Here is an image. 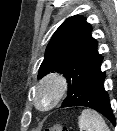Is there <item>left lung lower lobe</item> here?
<instances>
[{"instance_id": "left-lung-lower-lobe-1", "label": "left lung lower lobe", "mask_w": 117, "mask_h": 131, "mask_svg": "<svg viewBox=\"0 0 117 131\" xmlns=\"http://www.w3.org/2000/svg\"><path fill=\"white\" fill-rule=\"evenodd\" d=\"M101 63L82 87L68 90L67 97L70 98V101L66 107L85 106L92 108L115 125V116L110 106L109 96L103 85L105 72H102L100 69Z\"/></svg>"}]
</instances>
